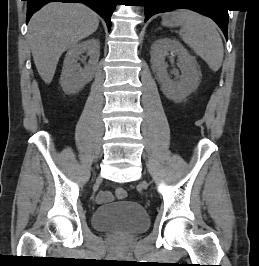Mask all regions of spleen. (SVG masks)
<instances>
[{"mask_svg": "<svg viewBox=\"0 0 259 266\" xmlns=\"http://www.w3.org/2000/svg\"><path fill=\"white\" fill-rule=\"evenodd\" d=\"M177 16L183 21L180 36L196 55L200 56L214 72L223 62L224 48L215 23L191 10H179Z\"/></svg>", "mask_w": 259, "mask_h": 266, "instance_id": "1", "label": "spleen"}]
</instances>
